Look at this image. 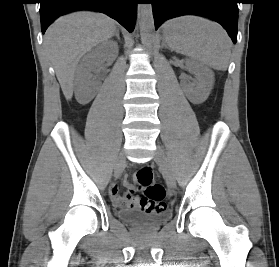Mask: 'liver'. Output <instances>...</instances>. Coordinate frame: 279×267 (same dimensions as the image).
<instances>
[{"instance_id":"1","label":"liver","mask_w":279,"mask_h":267,"mask_svg":"<svg viewBox=\"0 0 279 267\" xmlns=\"http://www.w3.org/2000/svg\"><path fill=\"white\" fill-rule=\"evenodd\" d=\"M115 21L94 12L80 11L58 18L45 33V48L67 100L73 96L80 58L92 47L113 36Z\"/></svg>"}]
</instances>
